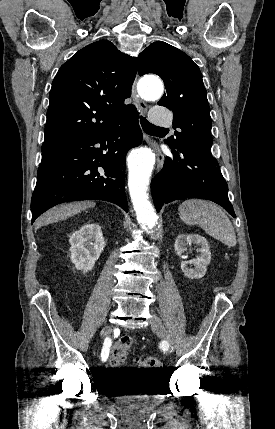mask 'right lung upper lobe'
I'll return each mask as SVG.
<instances>
[{
	"mask_svg": "<svg viewBox=\"0 0 275 429\" xmlns=\"http://www.w3.org/2000/svg\"><path fill=\"white\" fill-rule=\"evenodd\" d=\"M136 62L110 41L100 40L64 63L49 94L42 153L137 115L132 104H124L131 96Z\"/></svg>",
	"mask_w": 275,
	"mask_h": 429,
	"instance_id": "obj_1",
	"label": "right lung upper lobe"
}]
</instances>
